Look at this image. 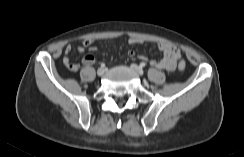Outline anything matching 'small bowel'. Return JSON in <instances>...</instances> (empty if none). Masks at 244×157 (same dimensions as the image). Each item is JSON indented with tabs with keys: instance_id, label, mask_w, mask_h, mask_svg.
Returning a JSON list of instances; mask_svg holds the SVG:
<instances>
[{
	"instance_id": "small-bowel-1",
	"label": "small bowel",
	"mask_w": 244,
	"mask_h": 157,
	"mask_svg": "<svg viewBox=\"0 0 244 157\" xmlns=\"http://www.w3.org/2000/svg\"><path fill=\"white\" fill-rule=\"evenodd\" d=\"M142 42L143 41L141 39L136 37H131L128 39V43L130 45L141 44ZM157 47L159 50L163 52V57L159 61L144 56H140L139 58L147 61L151 66H154L160 70H166V71L174 70L178 60L181 57L180 50L174 44L169 42H158ZM84 48H88L89 50L92 51L96 50L97 43L95 40L86 39L82 42L80 46H78L77 51L83 52ZM71 50H72V46L67 45L65 48V53L69 54ZM128 54L131 57L135 56V53L132 50H130ZM94 62H95V58L91 54L85 55L82 59V63L84 66H91L94 64ZM63 63L71 71H76L78 69V66L76 64L71 63L67 56L63 58Z\"/></svg>"
}]
</instances>
